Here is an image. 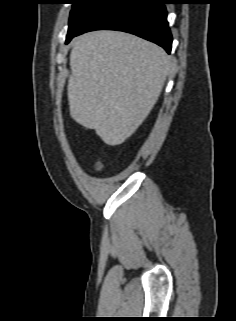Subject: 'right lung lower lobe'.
<instances>
[{"mask_svg":"<svg viewBox=\"0 0 236 321\" xmlns=\"http://www.w3.org/2000/svg\"><path fill=\"white\" fill-rule=\"evenodd\" d=\"M164 4V0H108L73 37L93 30H119L154 42L170 53L172 35Z\"/></svg>","mask_w":236,"mask_h":321,"instance_id":"obj_1","label":"right lung lower lobe"}]
</instances>
